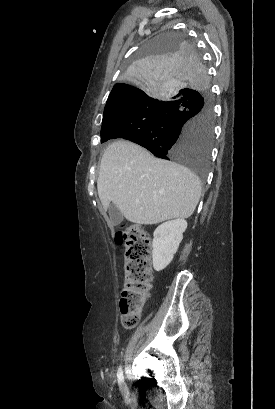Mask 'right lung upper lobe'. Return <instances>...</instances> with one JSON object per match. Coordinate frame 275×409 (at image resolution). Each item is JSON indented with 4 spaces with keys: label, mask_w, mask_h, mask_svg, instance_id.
Here are the masks:
<instances>
[{
    "label": "right lung upper lobe",
    "mask_w": 275,
    "mask_h": 409,
    "mask_svg": "<svg viewBox=\"0 0 275 409\" xmlns=\"http://www.w3.org/2000/svg\"><path fill=\"white\" fill-rule=\"evenodd\" d=\"M142 93H144V91L136 90L135 85H124V83H117L114 85L108 97L104 112L110 110L119 102Z\"/></svg>",
    "instance_id": "1"
}]
</instances>
